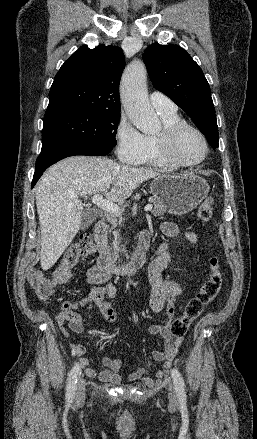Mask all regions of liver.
Wrapping results in <instances>:
<instances>
[{
	"label": "liver",
	"instance_id": "liver-1",
	"mask_svg": "<svg viewBox=\"0 0 257 439\" xmlns=\"http://www.w3.org/2000/svg\"><path fill=\"white\" fill-rule=\"evenodd\" d=\"M160 176L149 168H135L106 157L73 156L52 167L35 188L41 227V267L50 269L70 245L81 225L80 197L105 194L122 202L144 181ZM110 190V191H109ZM76 197H71V195Z\"/></svg>",
	"mask_w": 257,
	"mask_h": 439
}]
</instances>
